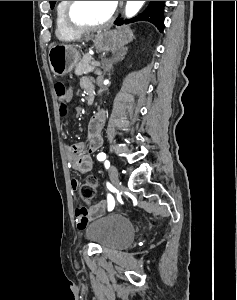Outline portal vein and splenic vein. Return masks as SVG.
Returning <instances> with one entry per match:
<instances>
[{"mask_svg": "<svg viewBox=\"0 0 237 300\" xmlns=\"http://www.w3.org/2000/svg\"><path fill=\"white\" fill-rule=\"evenodd\" d=\"M99 64H100V63L97 62V61H93V62H92V65H93V67H95V68H96V67H99V66H98Z\"/></svg>", "mask_w": 237, "mask_h": 300, "instance_id": "portal-vein-and-splenic-vein-1", "label": "portal vein and splenic vein"}]
</instances>
